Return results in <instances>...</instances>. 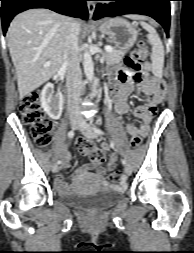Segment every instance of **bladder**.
I'll return each instance as SVG.
<instances>
[{"label":"bladder","mask_w":194,"mask_h":253,"mask_svg":"<svg viewBox=\"0 0 194 253\" xmlns=\"http://www.w3.org/2000/svg\"><path fill=\"white\" fill-rule=\"evenodd\" d=\"M124 192L115 186H104L95 191H74L59 196L63 203L86 211L109 208L123 198Z\"/></svg>","instance_id":"bladder-1"}]
</instances>
